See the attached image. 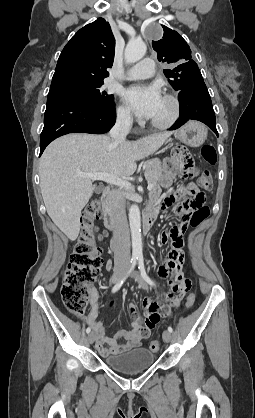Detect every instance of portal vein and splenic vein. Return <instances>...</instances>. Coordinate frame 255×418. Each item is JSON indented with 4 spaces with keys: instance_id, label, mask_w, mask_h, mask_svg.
I'll list each match as a JSON object with an SVG mask.
<instances>
[{
    "instance_id": "1",
    "label": "portal vein and splenic vein",
    "mask_w": 255,
    "mask_h": 418,
    "mask_svg": "<svg viewBox=\"0 0 255 418\" xmlns=\"http://www.w3.org/2000/svg\"><path fill=\"white\" fill-rule=\"evenodd\" d=\"M77 175L81 176V177L90 178L93 181L102 180L104 182L119 186L121 188L132 189V184L130 182H128L127 180H125L123 178L116 177V176H114L112 174H109V173H105V172H100V173L78 172ZM152 188H153V185L151 183H148L147 189L150 191V190H152Z\"/></svg>"
}]
</instances>
